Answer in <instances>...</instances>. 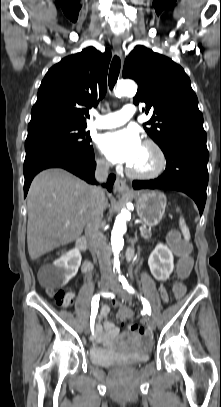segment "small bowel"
Wrapping results in <instances>:
<instances>
[{
	"label": "small bowel",
	"mask_w": 221,
	"mask_h": 407,
	"mask_svg": "<svg viewBox=\"0 0 221 407\" xmlns=\"http://www.w3.org/2000/svg\"><path fill=\"white\" fill-rule=\"evenodd\" d=\"M69 294L71 295L72 298L74 297L73 293L69 292ZM161 297H162L163 301H165V302L168 301L169 296H168V291H167L166 287L161 288ZM119 305H124V304L120 303L118 300L112 301V306L118 307ZM109 312H110L109 305L101 306L100 311H99L100 322L96 325L95 338H94V341L98 344H105V343L109 342L111 339L120 335L119 327H117L113 322L108 320ZM131 313L133 314V311ZM118 315H119V313H118ZM137 327H141V326L138 325ZM141 335H142V333L135 335L133 332V337L136 339L140 338Z\"/></svg>",
	"instance_id": "small-bowel-1"
}]
</instances>
